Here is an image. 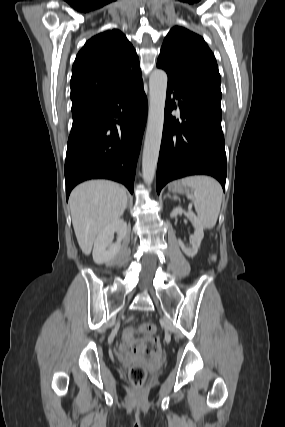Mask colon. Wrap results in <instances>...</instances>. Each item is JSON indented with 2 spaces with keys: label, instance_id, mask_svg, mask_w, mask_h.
I'll list each match as a JSON object with an SVG mask.
<instances>
[{
  "label": "colon",
  "instance_id": "5ec220e1",
  "mask_svg": "<svg viewBox=\"0 0 285 427\" xmlns=\"http://www.w3.org/2000/svg\"><path fill=\"white\" fill-rule=\"evenodd\" d=\"M156 326L151 322H143L133 327L125 329L123 338L127 349L135 353H144L149 356L161 354V345L154 334ZM147 376V372L142 365L134 364L129 369V378L136 386H141Z\"/></svg>",
  "mask_w": 285,
  "mask_h": 427
}]
</instances>
